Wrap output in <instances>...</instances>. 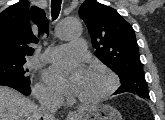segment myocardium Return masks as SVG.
<instances>
[{"label": "myocardium", "mask_w": 165, "mask_h": 120, "mask_svg": "<svg viewBox=\"0 0 165 120\" xmlns=\"http://www.w3.org/2000/svg\"><path fill=\"white\" fill-rule=\"evenodd\" d=\"M90 71L103 72L109 79L108 87L99 95L92 98L77 97V102L83 105H91L104 101L111 96L119 86V78L117 74L109 66L103 63H93L88 67Z\"/></svg>", "instance_id": "1"}]
</instances>
